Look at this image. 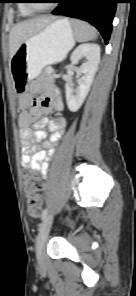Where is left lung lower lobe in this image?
Here are the masks:
<instances>
[{
    "label": "left lung lower lobe",
    "mask_w": 136,
    "mask_h": 296,
    "mask_svg": "<svg viewBox=\"0 0 136 296\" xmlns=\"http://www.w3.org/2000/svg\"><path fill=\"white\" fill-rule=\"evenodd\" d=\"M59 3L61 5L52 14L79 18L91 23L108 43L119 0H61Z\"/></svg>",
    "instance_id": "obj_1"
}]
</instances>
